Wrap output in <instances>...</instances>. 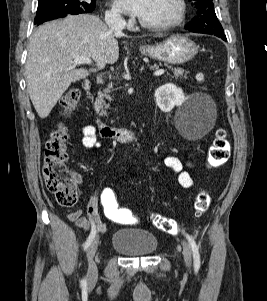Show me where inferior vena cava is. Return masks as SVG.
<instances>
[{
	"instance_id": "1",
	"label": "inferior vena cava",
	"mask_w": 267,
	"mask_h": 301,
	"mask_svg": "<svg viewBox=\"0 0 267 301\" xmlns=\"http://www.w3.org/2000/svg\"><path fill=\"white\" fill-rule=\"evenodd\" d=\"M105 22L108 27L116 33H121L125 28V23L118 14H109L105 16Z\"/></svg>"
}]
</instances>
